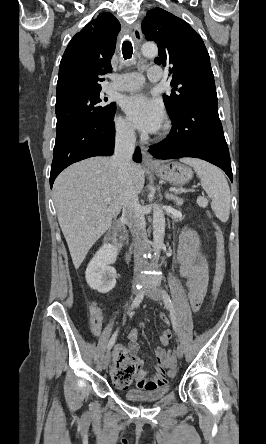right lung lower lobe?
Wrapping results in <instances>:
<instances>
[{"label": "right lung lower lobe", "instance_id": "98d812e1", "mask_svg": "<svg viewBox=\"0 0 266 444\" xmlns=\"http://www.w3.org/2000/svg\"><path fill=\"white\" fill-rule=\"evenodd\" d=\"M113 118L75 129L56 140L50 173L51 188L58 174L72 163L93 156L112 155L115 143ZM133 159L135 162H141L139 148L136 149Z\"/></svg>", "mask_w": 266, "mask_h": 444}]
</instances>
